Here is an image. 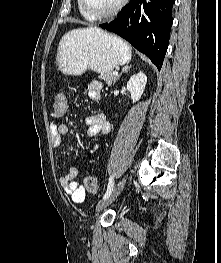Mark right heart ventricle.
<instances>
[{"label":"right heart ventricle","mask_w":221,"mask_h":263,"mask_svg":"<svg viewBox=\"0 0 221 263\" xmlns=\"http://www.w3.org/2000/svg\"><path fill=\"white\" fill-rule=\"evenodd\" d=\"M77 5H78V9L80 11V13L87 19H90L89 17H87V15L84 13V11L82 10L81 8V5H80V0H77ZM91 20V19H90Z\"/></svg>","instance_id":"obj_1"}]
</instances>
